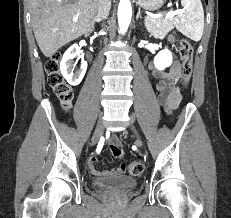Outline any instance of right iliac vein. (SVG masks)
<instances>
[{"instance_id":"right-iliac-vein-1","label":"right iliac vein","mask_w":231,"mask_h":218,"mask_svg":"<svg viewBox=\"0 0 231 218\" xmlns=\"http://www.w3.org/2000/svg\"><path fill=\"white\" fill-rule=\"evenodd\" d=\"M102 133H103V125L101 122H99L92 137L93 143H96L100 139Z\"/></svg>"}]
</instances>
